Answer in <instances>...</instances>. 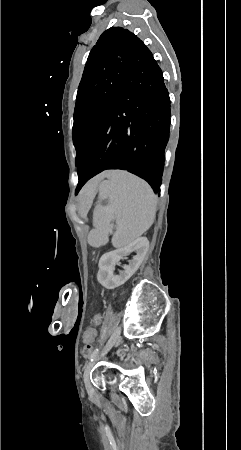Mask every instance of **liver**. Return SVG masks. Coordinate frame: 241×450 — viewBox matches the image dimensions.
Listing matches in <instances>:
<instances>
[{
    "mask_svg": "<svg viewBox=\"0 0 241 450\" xmlns=\"http://www.w3.org/2000/svg\"><path fill=\"white\" fill-rule=\"evenodd\" d=\"M110 172H102V174H99V176H95L93 180H91L94 188H97L99 186L101 180H104V178H107L109 176Z\"/></svg>",
    "mask_w": 241,
    "mask_h": 450,
    "instance_id": "6515ba94",
    "label": "liver"
}]
</instances>
